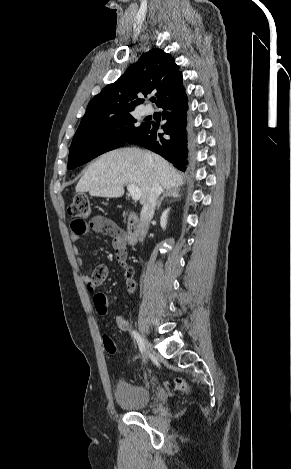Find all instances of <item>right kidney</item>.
<instances>
[{"mask_svg": "<svg viewBox=\"0 0 291 469\" xmlns=\"http://www.w3.org/2000/svg\"><path fill=\"white\" fill-rule=\"evenodd\" d=\"M169 208H167L163 213H162V216H161V219H160V224H161V227L163 229H165L166 227V223H167V216H168V212H169Z\"/></svg>", "mask_w": 291, "mask_h": 469, "instance_id": "ca27d5eb", "label": "right kidney"}]
</instances>
